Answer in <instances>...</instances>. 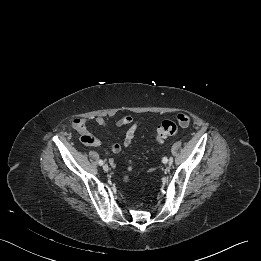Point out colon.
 Returning <instances> with one entry per match:
<instances>
[{"label": "colon", "instance_id": "obj_1", "mask_svg": "<svg viewBox=\"0 0 261 261\" xmlns=\"http://www.w3.org/2000/svg\"><path fill=\"white\" fill-rule=\"evenodd\" d=\"M189 120L183 116H176L175 120H165L156 131V139L159 142L165 141L168 137L175 135L178 131V125H187ZM128 181V179H126Z\"/></svg>", "mask_w": 261, "mask_h": 261}]
</instances>
